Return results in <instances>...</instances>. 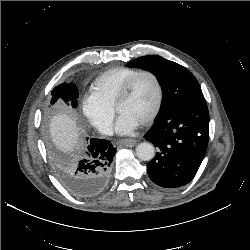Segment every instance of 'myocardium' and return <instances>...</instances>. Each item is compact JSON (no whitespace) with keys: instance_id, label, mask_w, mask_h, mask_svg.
Masks as SVG:
<instances>
[{"instance_id":"1","label":"myocardium","mask_w":250,"mask_h":250,"mask_svg":"<svg viewBox=\"0 0 250 250\" xmlns=\"http://www.w3.org/2000/svg\"><path fill=\"white\" fill-rule=\"evenodd\" d=\"M143 75H148L154 80L155 85H156V91H157V100H156V105H155L153 112L140 124V126H147L151 124L159 115L162 105H163V99H164L163 86H162L160 78L155 72L151 70H141L137 72L134 76H132L119 91L114 101L113 107H114V110L117 113H119L118 112L119 106L127 100V98L129 97L131 93V90L133 89L134 84L136 83L138 78Z\"/></svg>"}]
</instances>
